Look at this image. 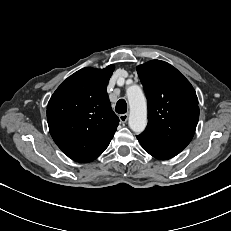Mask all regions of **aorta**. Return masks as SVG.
<instances>
[{
    "mask_svg": "<svg viewBox=\"0 0 231 231\" xmlns=\"http://www.w3.org/2000/svg\"><path fill=\"white\" fill-rule=\"evenodd\" d=\"M127 98L130 107L129 127L137 134L143 132L147 125V104L142 89L132 85L127 89Z\"/></svg>",
    "mask_w": 231,
    "mask_h": 231,
    "instance_id": "obj_1",
    "label": "aorta"
}]
</instances>
